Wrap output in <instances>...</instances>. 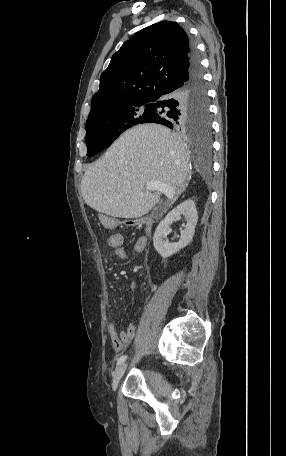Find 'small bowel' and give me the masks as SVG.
Wrapping results in <instances>:
<instances>
[{
  "label": "small bowel",
  "mask_w": 286,
  "mask_h": 456,
  "mask_svg": "<svg viewBox=\"0 0 286 456\" xmlns=\"http://www.w3.org/2000/svg\"><path fill=\"white\" fill-rule=\"evenodd\" d=\"M111 236L117 238L116 243H111L109 238V246L113 251V255L116 259L124 260L127 257V252L123 246V237L119 233H114ZM110 236V237H111ZM147 245V239L145 237H139L134 243L133 250L135 253H141L144 251ZM131 288L134 292H137L139 289L138 283L134 281L131 285ZM108 331L111 337V342L113 348L116 352H121L125 345L132 339L136 331V322L129 324L128 328L125 331H118L115 323L110 320L108 322Z\"/></svg>",
  "instance_id": "obj_1"
}]
</instances>
